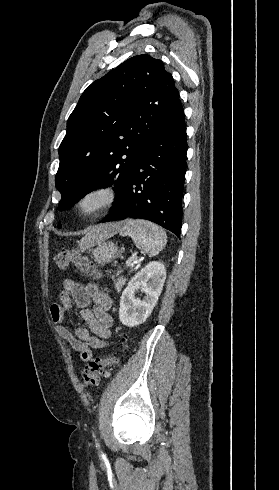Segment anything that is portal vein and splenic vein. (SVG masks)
<instances>
[{
  "instance_id": "portal-vein-and-splenic-vein-1",
  "label": "portal vein and splenic vein",
  "mask_w": 279,
  "mask_h": 490,
  "mask_svg": "<svg viewBox=\"0 0 279 490\" xmlns=\"http://www.w3.org/2000/svg\"><path fill=\"white\" fill-rule=\"evenodd\" d=\"M133 260H126V266H132Z\"/></svg>"
}]
</instances>
